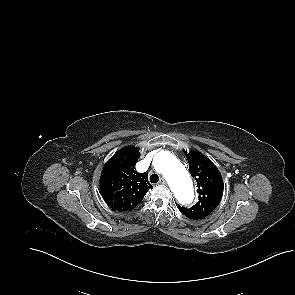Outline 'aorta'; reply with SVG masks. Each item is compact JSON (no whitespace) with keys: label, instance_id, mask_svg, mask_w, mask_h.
Instances as JSON below:
<instances>
[{"label":"aorta","instance_id":"aorta-1","mask_svg":"<svg viewBox=\"0 0 295 295\" xmlns=\"http://www.w3.org/2000/svg\"><path fill=\"white\" fill-rule=\"evenodd\" d=\"M154 165L167 180L179 203L183 205L192 203L193 182L183 164L172 153L161 151L155 156Z\"/></svg>","mask_w":295,"mask_h":295}]
</instances>
